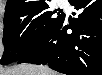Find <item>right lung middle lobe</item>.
<instances>
[{
  "label": "right lung middle lobe",
  "mask_w": 102,
  "mask_h": 75,
  "mask_svg": "<svg viewBox=\"0 0 102 75\" xmlns=\"http://www.w3.org/2000/svg\"><path fill=\"white\" fill-rule=\"evenodd\" d=\"M48 9L49 5L44 4L37 9L4 15V52L1 64L19 61L47 39L64 16L61 13L53 17L56 11Z\"/></svg>",
  "instance_id": "right-lung-middle-lobe-1"
}]
</instances>
